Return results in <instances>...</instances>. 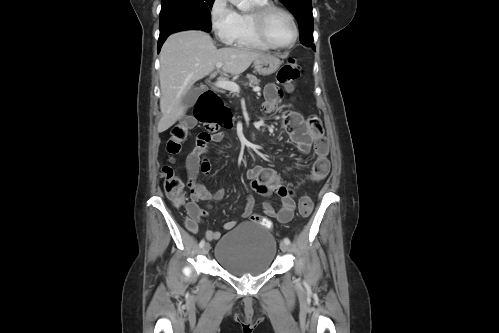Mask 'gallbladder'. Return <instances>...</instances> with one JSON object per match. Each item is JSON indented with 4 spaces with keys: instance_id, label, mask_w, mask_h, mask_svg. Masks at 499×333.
I'll return each instance as SVG.
<instances>
[{
    "instance_id": "obj_1",
    "label": "gallbladder",
    "mask_w": 499,
    "mask_h": 333,
    "mask_svg": "<svg viewBox=\"0 0 499 333\" xmlns=\"http://www.w3.org/2000/svg\"><path fill=\"white\" fill-rule=\"evenodd\" d=\"M204 91L205 87L203 86L191 88L182 98L181 101L182 104L187 107L192 106L197 100V98L200 96V94Z\"/></svg>"
}]
</instances>
